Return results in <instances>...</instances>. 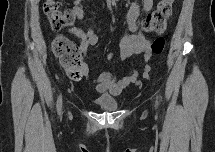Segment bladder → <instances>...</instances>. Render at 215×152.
I'll return each mask as SVG.
<instances>
[{"mask_svg":"<svg viewBox=\"0 0 215 152\" xmlns=\"http://www.w3.org/2000/svg\"><path fill=\"white\" fill-rule=\"evenodd\" d=\"M96 106L103 111H115L119 108V102L115 98L101 96L96 100Z\"/></svg>","mask_w":215,"mask_h":152,"instance_id":"obj_1","label":"bladder"}]
</instances>
